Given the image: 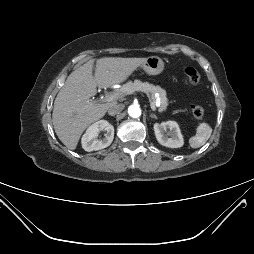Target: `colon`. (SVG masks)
<instances>
[{
    "label": "colon",
    "instance_id": "colon-1",
    "mask_svg": "<svg viewBox=\"0 0 254 254\" xmlns=\"http://www.w3.org/2000/svg\"><path fill=\"white\" fill-rule=\"evenodd\" d=\"M184 76L191 85H197L200 82V74L193 67H186L184 69ZM193 115L196 119L200 120L204 116V109L201 105H195L192 109Z\"/></svg>",
    "mask_w": 254,
    "mask_h": 254
}]
</instances>
